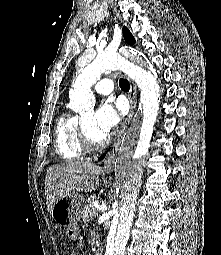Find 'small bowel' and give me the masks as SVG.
<instances>
[{"mask_svg":"<svg viewBox=\"0 0 221 255\" xmlns=\"http://www.w3.org/2000/svg\"><path fill=\"white\" fill-rule=\"evenodd\" d=\"M67 236L69 239L71 240H76L79 238L80 236V231L78 229V227L76 226H73V227H70L68 230H67ZM71 255H75V254H71Z\"/></svg>","mask_w":221,"mask_h":255,"instance_id":"obj_1","label":"small bowel"}]
</instances>
